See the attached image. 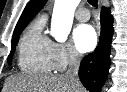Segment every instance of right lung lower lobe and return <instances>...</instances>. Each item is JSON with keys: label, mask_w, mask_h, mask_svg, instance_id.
<instances>
[{"label": "right lung lower lobe", "mask_w": 127, "mask_h": 92, "mask_svg": "<svg viewBox=\"0 0 127 92\" xmlns=\"http://www.w3.org/2000/svg\"><path fill=\"white\" fill-rule=\"evenodd\" d=\"M113 35V18L109 9L101 10V35L94 53L85 56L80 64L79 76L90 92H99L109 70L110 46Z\"/></svg>", "instance_id": "obj_1"}]
</instances>
